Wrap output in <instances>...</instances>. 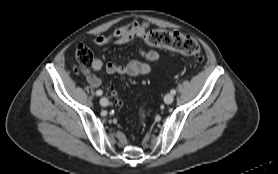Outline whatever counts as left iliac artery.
Returning a JSON list of instances; mask_svg holds the SVG:
<instances>
[{
  "instance_id": "1",
  "label": "left iliac artery",
  "mask_w": 278,
  "mask_h": 174,
  "mask_svg": "<svg viewBox=\"0 0 278 174\" xmlns=\"http://www.w3.org/2000/svg\"><path fill=\"white\" fill-rule=\"evenodd\" d=\"M170 93H171L172 95H175V94H176V90L172 89V90L170 91Z\"/></svg>"
}]
</instances>
